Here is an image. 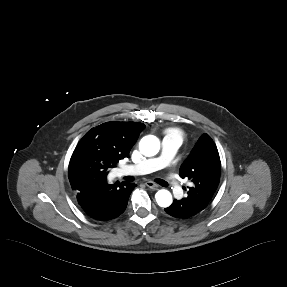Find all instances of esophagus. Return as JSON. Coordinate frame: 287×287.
Instances as JSON below:
<instances>
[{"label": "esophagus", "instance_id": "esophagus-1", "mask_svg": "<svg viewBox=\"0 0 287 287\" xmlns=\"http://www.w3.org/2000/svg\"><path fill=\"white\" fill-rule=\"evenodd\" d=\"M145 185L147 186V187H149V188H151V189H157L158 188V185H156L154 182H152V181H147L146 183H145Z\"/></svg>", "mask_w": 287, "mask_h": 287}]
</instances>
